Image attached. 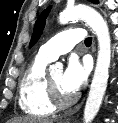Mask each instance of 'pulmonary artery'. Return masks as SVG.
Segmentation results:
<instances>
[{"instance_id": "obj_1", "label": "pulmonary artery", "mask_w": 118, "mask_h": 123, "mask_svg": "<svg viewBox=\"0 0 118 123\" xmlns=\"http://www.w3.org/2000/svg\"><path fill=\"white\" fill-rule=\"evenodd\" d=\"M85 36V30L82 28H71L62 31L42 45L39 54L50 61L55 60L60 55L69 52Z\"/></svg>"}]
</instances>
